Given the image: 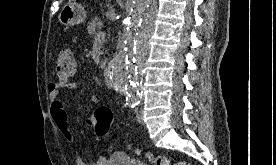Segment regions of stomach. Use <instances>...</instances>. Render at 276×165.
I'll use <instances>...</instances> for the list:
<instances>
[{
    "mask_svg": "<svg viewBox=\"0 0 276 165\" xmlns=\"http://www.w3.org/2000/svg\"><path fill=\"white\" fill-rule=\"evenodd\" d=\"M86 11L81 4L67 3L59 14V21L64 26H74L85 21Z\"/></svg>",
    "mask_w": 276,
    "mask_h": 165,
    "instance_id": "stomach-1",
    "label": "stomach"
}]
</instances>
